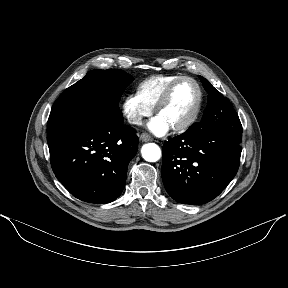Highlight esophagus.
Masks as SVG:
<instances>
[{"label":"esophagus","instance_id":"esophagus-1","mask_svg":"<svg viewBox=\"0 0 288 288\" xmlns=\"http://www.w3.org/2000/svg\"><path fill=\"white\" fill-rule=\"evenodd\" d=\"M140 140L143 141V142H149V141H152L153 139H152V137L149 134L142 133L140 135Z\"/></svg>","mask_w":288,"mask_h":288}]
</instances>
